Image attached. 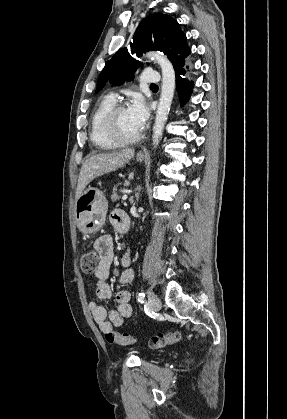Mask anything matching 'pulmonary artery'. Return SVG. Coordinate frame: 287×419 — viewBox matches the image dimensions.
Returning <instances> with one entry per match:
<instances>
[{
	"mask_svg": "<svg viewBox=\"0 0 287 419\" xmlns=\"http://www.w3.org/2000/svg\"><path fill=\"white\" fill-rule=\"evenodd\" d=\"M160 74L154 70H145L140 77V82L142 83H149V84H157L160 82ZM113 98L116 97L115 94H111Z\"/></svg>",
	"mask_w": 287,
	"mask_h": 419,
	"instance_id": "1",
	"label": "pulmonary artery"
}]
</instances>
